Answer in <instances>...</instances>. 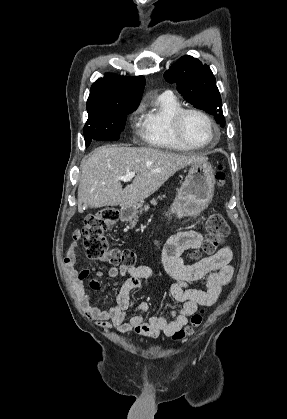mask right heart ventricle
<instances>
[{
  "label": "right heart ventricle",
  "mask_w": 287,
  "mask_h": 419,
  "mask_svg": "<svg viewBox=\"0 0 287 419\" xmlns=\"http://www.w3.org/2000/svg\"><path fill=\"white\" fill-rule=\"evenodd\" d=\"M180 101L172 93H162L151 104L142 108L139 134L151 147L168 150H191L175 136L172 128L174 114L182 109Z\"/></svg>",
  "instance_id": "obj_1"
}]
</instances>
